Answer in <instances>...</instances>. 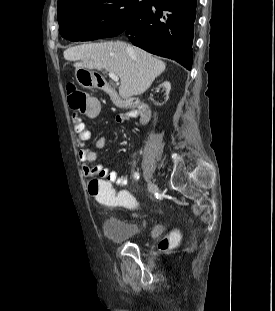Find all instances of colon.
Instances as JSON below:
<instances>
[{
	"mask_svg": "<svg viewBox=\"0 0 275 311\" xmlns=\"http://www.w3.org/2000/svg\"><path fill=\"white\" fill-rule=\"evenodd\" d=\"M67 99L69 106L80 112L81 117H96L100 113V106L95 97H87L86 93L77 89L74 85L67 88ZM89 184V191L95 202H116L120 206L133 207L131 190H115V183H109L108 178H99L98 176ZM118 195V196H117ZM176 242L174 235L164 237L160 243V250H168Z\"/></svg>",
	"mask_w": 275,
	"mask_h": 311,
	"instance_id": "1",
	"label": "colon"
}]
</instances>
